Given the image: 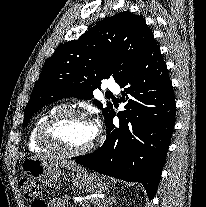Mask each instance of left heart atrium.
<instances>
[{
    "instance_id": "obj_1",
    "label": "left heart atrium",
    "mask_w": 206,
    "mask_h": 207,
    "mask_svg": "<svg viewBox=\"0 0 206 207\" xmlns=\"http://www.w3.org/2000/svg\"><path fill=\"white\" fill-rule=\"evenodd\" d=\"M92 129H93V135H94V137H96L98 135V133L100 132V123L96 122V123L92 124Z\"/></svg>"
}]
</instances>
